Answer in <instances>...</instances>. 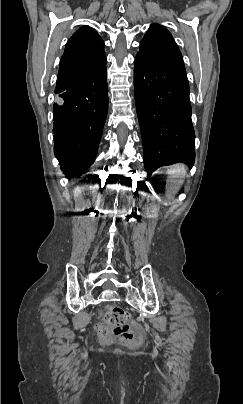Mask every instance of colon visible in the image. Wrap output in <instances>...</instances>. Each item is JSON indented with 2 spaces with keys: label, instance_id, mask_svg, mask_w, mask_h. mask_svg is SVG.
I'll return each mask as SVG.
<instances>
[{
  "label": "colon",
  "instance_id": "5ec220e1",
  "mask_svg": "<svg viewBox=\"0 0 243 404\" xmlns=\"http://www.w3.org/2000/svg\"><path fill=\"white\" fill-rule=\"evenodd\" d=\"M128 318L129 314L123 308L112 305L107 309L105 321L98 326V330L104 338L109 337L110 333H113L119 343L126 346H136L140 341L139 335L133 328L123 326ZM110 327L114 328L111 330Z\"/></svg>",
  "mask_w": 243,
  "mask_h": 404
}]
</instances>
